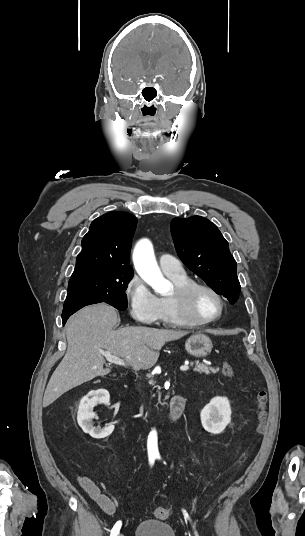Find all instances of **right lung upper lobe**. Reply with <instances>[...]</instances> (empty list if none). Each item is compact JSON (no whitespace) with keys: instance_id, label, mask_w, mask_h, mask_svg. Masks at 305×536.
Listing matches in <instances>:
<instances>
[{"instance_id":"cb5924a9","label":"right lung upper lobe","mask_w":305,"mask_h":536,"mask_svg":"<svg viewBox=\"0 0 305 536\" xmlns=\"http://www.w3.org/2000/svg\"><path fill=\"white\" fill-rule=\"evenodd\" d=\"M136 223V217L127 212L114 211L96 218L82 239L71 277L133 273L129 254Z\"/></svg>"}]
</instances>
